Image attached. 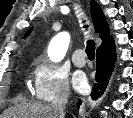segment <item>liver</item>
Wrapping results in <instances>:
<instances>
[{
	"label": "liver",
	"instance_id": "liver-1",
	"mask_svg": "<svg viewBox=\"0 0 133 118\" xmlns=\"http://www.w3.org/2000/svg\"><path fill=\"white\" fill-rule=\"evenodd\" d=\"M1 118H53V114L46 104H18L5 110Z\"/></svg>",
	"mask_w": 133,
	"mask_h": 118
}]
</instances>
